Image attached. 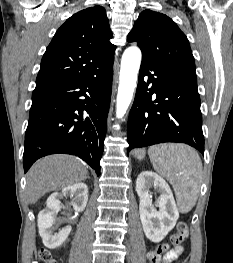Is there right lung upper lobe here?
Instances as JSON below:
<instances>
[{
    "mask_svg": "<svg viewBox=\"0 0 233 263\" xmlns=\"http://www.w3.org/2000/svg\"><path fill=\"white\" fill-rule=\"evenodd\" d=\"M101 6L77 12L57 30L41 61L36 88L89 77L114 60L116 46Z\"/></svg>",
    "mask_w": 233,
    "mask_h": 263,
    "instance_id": "obj_1",
    "label": "right lung upper lobe"
}]
</instances>
